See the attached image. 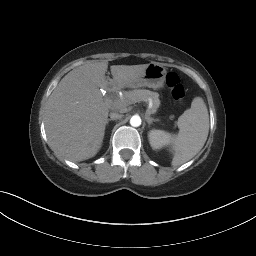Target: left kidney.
I'll list each match as a JSON object with an SVG mask.
<instances>
[{
	"label": "left kidney",
	"mask_w": 256,
	"mask_h": 256,
	"mask_svg": "<svg viewBox=\"0 0 256 256\" xmlns=\"http://www.w3.org/2000/svg\"><path fill=\"white\" fill-rule=\"evenodd\" d=\"M150 145L153 149H160L170 141V134L158 129H153L148 134Z\"/></svg>",
	"instance_id": "obj_1"
}]
</instances>
